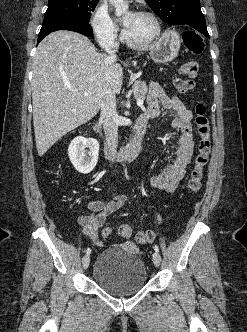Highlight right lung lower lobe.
<instances>
[{"label": "right lung lower lobe", "instance_id": "1", "mask_svg": "<svg viewBox=\"0 0 247 332\" xmlns=\"http://www.w3.org/2000/svg\"><path fill=\"white\" fill-rule=\"evenodd\" d=\"M58 30H69L81 33L86 36H92L93 31L89 21L76 16H48L44 17L42 28L38 35V43L49 33Z\"/></svg>", "mask_w": 247, "mask_h": 332}]
</instances>
